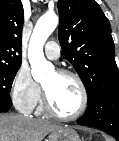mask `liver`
Segmentation results:
<instances>
[{
	"mask_svg": "<svg viewBox=\"0 0 119 141\" xmlns=\"http://www.w3.org/2000/svg\"><path fill=\"white\" fill-rule=\"evenodd\" d=\"M60 127L43 119L21 115H0V141H42L50 132Z\"/></svg>",
	"mask_w": 119,
	"mask_h": 141,
	"instance_id": "1",
	"label": "liver"
}]
</instances>
